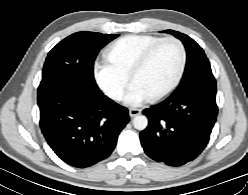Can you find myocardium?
I'll return each mask as SVG.
<instances>
[{"mask_svg": "<svg viewBox=\"0 0 248 195\" xmlns=\"http://www.w3.org/2000/svg\"><path fill=\"white\" fill-rule=\"evenodd\" d=\"M174 42H176V44L180 47L181 50V62H180V66L173 78V80L164 88L162 89L160 92L155 93L154 96H162L164 94H166L167 92H169L179 81V79L181 78L184 68H185V63H186V51H185V47L183 45V43L177 39L173 40Z\"/></svg>", "mask_w": 248, "mask_h": 195, "instance_id": "obj_1", "label": "myocardium"}]
</instances>
